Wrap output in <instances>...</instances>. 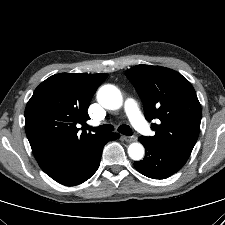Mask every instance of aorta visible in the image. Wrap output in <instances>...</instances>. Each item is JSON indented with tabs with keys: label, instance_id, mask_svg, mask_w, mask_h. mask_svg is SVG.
I'll use <instances>...</instances> for the list:
<instances>
[{
	"label": "aorta",
	"instance_id": "obj_1",
	"mask_svg": "<svg viewBox=\"0 0 225 225\" xmlns=\"http://www.w3.org/2000/svg\"><path fill=\"white\" fill-rule=\"evenodd\" d=\"M97 100L101 106L109 110H117L122 106L123 98L120 90L114 85H104L97 93ZM144 147L135 142L129 145L128 155L131 159L139 161L144 157Z\"/></svg>",
	"mask_w": 225,
	"mask_h": 225
}]
</instances>
